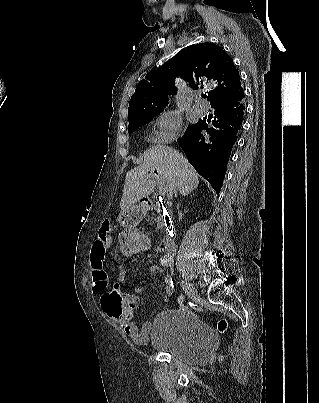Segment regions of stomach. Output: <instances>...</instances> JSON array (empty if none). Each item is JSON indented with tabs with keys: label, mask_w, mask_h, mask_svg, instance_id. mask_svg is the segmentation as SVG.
<instances>
[{
	"label": "stomach",
	"mask_w": 319,
	"mask_h": 403,
	"mask_svg": "<svg viewBox=\"0 0 319 403\" xmlns=\"http://www.w3.org/2000/svg\"><path fill=\"white\" fill-rule=\"evenodd\" d=\"M143 214L139 207L132 206L125 210H116L115 218L119 222L120 228H125L126 226H136V224L142 223Z\"/></svg>",
	"instance_id": "stomach-1"
}]
</instances>
